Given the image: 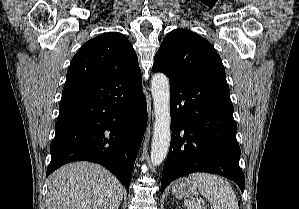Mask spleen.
<instances>
[{
    "mask_svg": "<svg viewBox=\"0 0 299 209\" xmlns=\"http://www.w3.org/2000/svg\"><path fill=\"white\" fill-rule=\"evenodd\" d=\"M187 181L196 183L200 193L213 205L214 209H239L238 200L231 185L221 177L204 172L191 174ZM186 209H206L199 200H184Z\"/></svg>",
    "mask_w": 299,
    "mask_h": 209,
    "instance_id": "obj_1",
    "label": "spleen"
}]
</instances>
